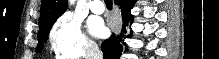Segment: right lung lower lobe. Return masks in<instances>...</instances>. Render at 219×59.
<instances>
[{
    "label": "right lung lower lobe",
    "mask_w": 219,
    "mask_h": 59,
    "mask_svg": "<svg viewBox=\"0 0 219 59\" xmlns=\"http://www.w3.org/2000/svg\"><path fill=\"white\" fill-rule=\"evenodd\" d=\"M115 4L120 6L122 14V30L119 35L112 34V36L105 40L101 45L103 51V59H120L122 52L126 50L125 38L132 35L130 25L133 22V15L131 8L135 0H114Z\"/></svg>",
    "instance_id": "1"
}]
</instances>
